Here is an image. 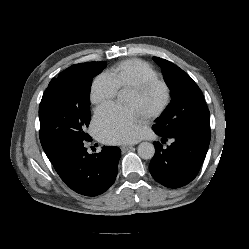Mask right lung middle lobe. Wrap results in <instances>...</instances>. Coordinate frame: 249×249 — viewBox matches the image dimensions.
<instances>
[{
	"mask_svg": "<svg viewBox=\"0 0 249 249\" xmlns=\"http://www.w3.org/2000/svg\"><path fill=\"white\" fill-rule=\"evenodd\" d=\"M106 62L80 63L70 66L53 78L39 107L40 142L45 150L55 144L88 141L84 132L90 122V88Z\"/></svg>",
	"mask_w": 249,
	"mask_h": 249,
	"instance_id": "dd1d6c3e",
	"label": "right lung middle lobe"
}]
</instances>
